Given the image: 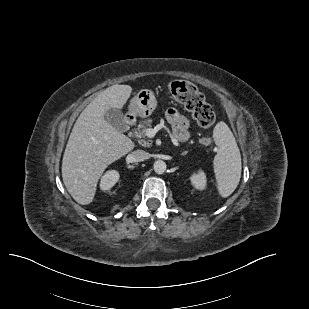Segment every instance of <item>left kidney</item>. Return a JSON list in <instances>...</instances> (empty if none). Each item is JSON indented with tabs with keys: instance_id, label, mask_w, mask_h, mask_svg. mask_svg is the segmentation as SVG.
I'll return each instance as SVG.
<instances>
[{
	"instance_id": "obj_1",
	"label": "left kidney",
	"mask_w": 309,
	"mask_h": 309,
	"mask_svg": "<svg viewBox=\"0 0 309 309\" xmlns=\"http://www.w3.org/2000/svg\"><path fill=\"white\" fill-rule=\"evenodd\" d=\"M190 180L192 185L198 190H203L206 187L207 180L203 171H198V173H194L190 177Z\"/></svg>"
}]
</instances>
